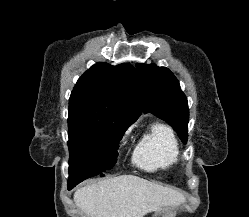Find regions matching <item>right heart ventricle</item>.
I'll use <instances>...</instances> for the list:
<instances>
[{
	"label": "right heart ventricle",
	"instance_id": "e07e8e85",
	"mask_svg": "<svg viewBox=\"0 0 249 217\" xmlns=\"http://www.w3.org/2000/svg\"><path fill=\"white\" fill-rule=\"evenodd\" d=\"M180 147L174 132L162 123H153L133 153V163L148 172H169L180 164Z\"/></svg>",
	"mask_w": 249,
	"mask_h": 217
}]
</instances>
